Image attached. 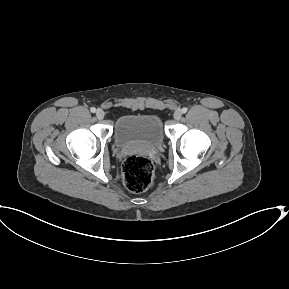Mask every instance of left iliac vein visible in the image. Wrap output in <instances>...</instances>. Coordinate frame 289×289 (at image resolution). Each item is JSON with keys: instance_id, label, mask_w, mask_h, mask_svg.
<instances>
[{"instance_id": "left-iliac-vein-1", "label": "left iliac vein", "mask_w": 289, "mask_h": 289, "mask_svg": "<svg viewBox=\"0 0 289 289\" xmlns=\"http://www.w3.org/2000/svg\"><path fill=\"white\" fill-rule=\"evenodd\" d=\"M181 116H182V111L180 109H177L173 114V117L175 120H179Z\"/></svg>"}]
</instances>
